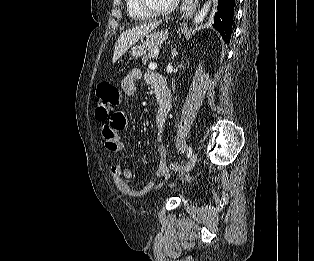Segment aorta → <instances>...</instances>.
<instances>
[{"label":"aorta","instance_id":"1","mask_svg":"<svg viewBox=\"0 0 314 261\" xmlns=\"http://www.w3.org/2000/svg\"><path fill=\"white\" fill-rule=\"evenodd\" d=\"M211 7V0H208L203 8L195 15L193 23L198 24L204 20Z\"/></svg>","mask_w":314,"mask_h":261}]
</instances>
